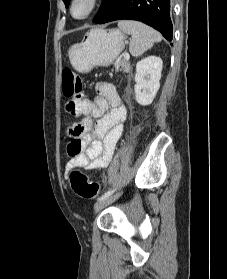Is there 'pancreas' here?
<instances>
[{
  "label": "pancreas",
  "instance_id": "pancreas-1",
  "mask_svg": "<svg viewBox=\"0 0 227 279\" xmlns=\"http://www.w3.org/2000/svg\"><path fill=\"white\" fill-rule=\"evenodd\" d=\"M115 68L117 71H123L124 73H132L131 65L126 60H120L118 63L115 64Z\"/></svg>",
  "mask_w": 227,
  "mask_h": 279
}]
</instances>
